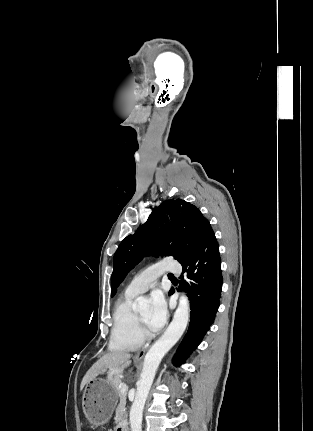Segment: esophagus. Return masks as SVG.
<instances>
[{
    "instance_id": "1",
    "label": "esophagus",
    "mask_w": 313,
    "mask_h": 431,
    "mask_svg": "<svg viewBox=\"0 0 313 431\" xmlns=\"http://www.w3.org/2000/svg\"><path fill=\"white\" fill-rule=\"evenodd\" d=\"M146 350H147V348H144V349H142L141 351H139V352L136 354L135 358H136L137 360H141V359H143V357H144V355H145V353H146Z\"/></svg>"
}]
</instances>
